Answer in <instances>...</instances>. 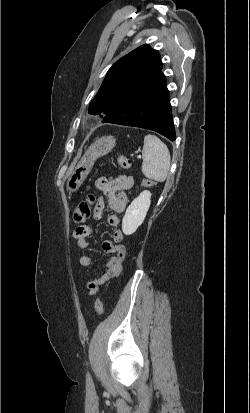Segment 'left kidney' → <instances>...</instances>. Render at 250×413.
Here are the masks:
<instances>
[{
	"label": "left kidney",
	"instance_id": "obj_1",
	"mask_svg": "<svg viewBox=\"0 0 250 413\" xmlns=\"http://www.w3.org/2000/svg\"><path fill=\"white\" fill-rule=\"evenodd\" d=\"M150 198L151 193L145 190L129 205L122 220V231L125 235L133 234L143 223L151 204Z\"/></svg>",
	"mask_w": 250,
	"mask_h": 413
}]
</instances>
